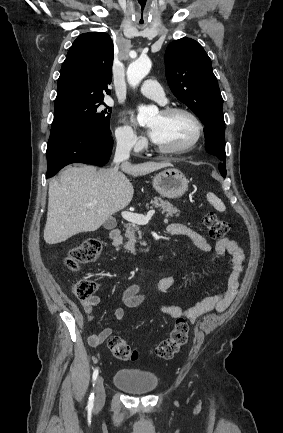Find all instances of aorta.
Returning <instances> with one entry per match:
<instances>
[{
	"instance_id": "obj_1",
	"label": "aorta",
	"mask_w": 283,
	"mask_h": 433,
	"mask_svg": "<svg viewBox=\"0 0 283 433\" xmlns=\"http://www.w3.org/2000/svg\"><path fill=\"white\" fill-rule=\"evenodd\" d=\"M152 63L149 58H139L131 63L127 69V81L130 86L137 87L143 78L149 73ZM158 112L154 106L140 105L138 107L137 121L139 125L149 124L153 116Z\"/></svg>"
}]
</instances>
